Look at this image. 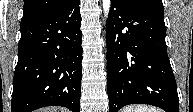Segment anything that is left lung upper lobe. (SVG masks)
I'll list each match as a JSON object with an SVG mask.
<instances>
[{"label": "left lung upper lobe", "instance_id": "5c2ea615", "mask_svg": "<svg viewBox=\"0 0 193 112\" xmlns=\"http://www.w3.org/2000/svg\"><path fill=\"white\" fill-rule=\"evenodd\" d=\"M123 6L136 8V7H145L152 5L163 6L162 0H114Z\"/></svg>", "mask_w": 193, "mask_h": 112}]
</instances>
